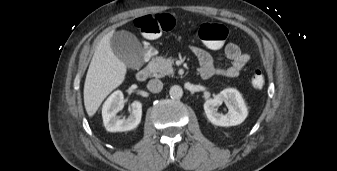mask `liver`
<instances>
[{
    "label": "liver",
    "mask_w": 337,
    "mask_h": 171,
    "mask_svg": "<svg viewBox=\"0 0 337 171\" xmlns=\"http://www.w3.org/2000/svg\"><path fill=\"white\" fill-rule=\"evenodd\" d=\"M113 31L98 43L89 65L84 83V105L92 117L107 95L125 79L127 67L113 52L111 38Z\"/></svg>",
    "instance_id": "obj_1"
}]
</instances>
